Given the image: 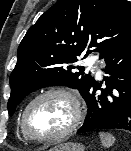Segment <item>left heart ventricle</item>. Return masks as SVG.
<instances>
[{
	"mask_svg": "<svg viewBox=\"0 0 131 151\" xmlns=\"http://www.w3.org/2000/svg\"><path fill=\"white\" fill-rule=\"evenodd\" d=\"M71 106L60 96H48L36 102L27 115V127L37 137L55 135L71 120Z\"/></svg>",
	"mask_w": 131,
	"mask_h": 151,
	"instance_id": "left-heart-ventricle-1",
	"label": "left heart ventricle"
}]
</instances>
